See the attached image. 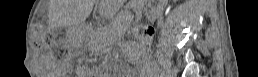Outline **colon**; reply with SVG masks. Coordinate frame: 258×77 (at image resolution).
I'll use <instances>...</instances> for the list:
<instances>
[{"label": "colon", "mask_w": 258, "mask_h": 77, "mask_svg": "<svg viewBox=\"0 0 258 77\" xmlns=\"http://www.w3.org/2000/svg\"><path fill=\"white\" fill-rule=\"evenodd\" d=\"M34 43L38 49L45 48L49 43V34L42 23H35L33 28ZM153 28L149 24H141L133 29V39L141 45L149 47L153 39Z\"/></svg>", "instance_id": "5ec220e1"}]
</instances>
